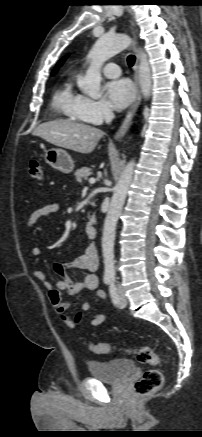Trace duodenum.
Instances as JSON below:
<instances>
[{"instance_id":"duodenum-1","label":"duodenum","mask_w":202,"mask_h":437,"mask_svg":"<svg viewBox=\"0 0 202 437\" xmlns=\"http://www.w3.org/2000/svg\"><path fill=\"white\" fill-rule=\"evenodd\" d=\"M86 234L89 238H95L98 233L97 221L95 216H92L86 224L85 227Z\"/></svg>"}]
</instances>
